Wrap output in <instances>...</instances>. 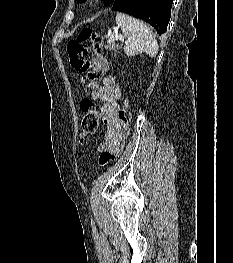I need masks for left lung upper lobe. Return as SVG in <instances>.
I'll return each instance as SVG.
<instances>
[{
  "mask_svg": "<svg viewBox=\"0 0 233 263\" xmlns=\"http://www.w3.org/2000/svg\"><path fill=\"white\" fill-rule=\"evenodd\" d=\"M104 1H105V5H106V6H109V5L113 4V2H114L115 0H104Z\"/></svg>",
  "mask_w": 233,
  "mask_h": 263,
  "instance_id": "1",
  "label": "left lung upper lobe"
}]
</instances>
